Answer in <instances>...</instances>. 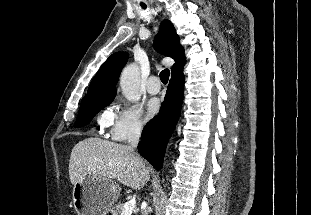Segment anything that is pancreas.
I'll return each instance as SVG.
<instances>
[{
    "mask_svg": "<svg viewBox=\"0 0 311 215\" xmlns=\"http://www.w3.org/2000/svg\"><path fill=\"white\" fill-rule=\"evenodd\" d=\"M123 207H124V204L121 202L115 204V206L111 208L112 215H121Z\"/></svg>",
    "mask_w": 311,
    "mask_h": 215,
    "instance_id": "1",
    "label": "pancreas"
}]
</instances>
